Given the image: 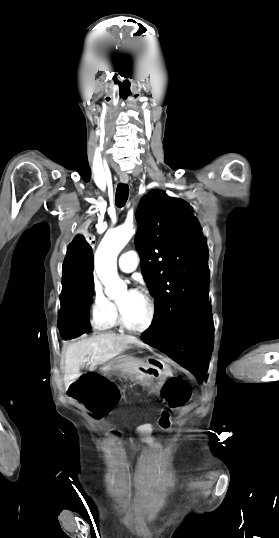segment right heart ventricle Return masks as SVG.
<instances>
[{
  "instance_id": "1",
  "label": "right heart ventricle",
  "mask_w": 279,
  "mask_h": 538,
  "mask_svg": "<svg viewBox=\"0 0 279 538\" xmlns=\"http://www.w3.org/2000/svg\"><path fill=\"white\" fill-rule=\"evenodd\" d=\"M103 228H104L103 226L100 227L101 230ZM136 228H137V225H136L135 216H134L133 212L129 211L127 216H126V219H125L124 223L118 228L111 229L109 231V233H115V234L123 235V236L127 237L128 235H131V234L135 233ZM114 307H115L114 313H113L112 317L110 318L108 327L109 326H115V325L118 324V310H117V304L116 303H114Z\"/></svg>"
}]
</instances>
